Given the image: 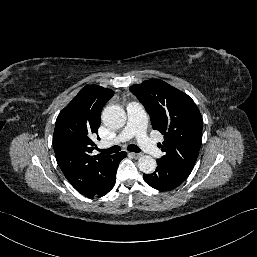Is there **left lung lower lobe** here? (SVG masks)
Returning <instances> with one entry per match:
<instances>
[{"label": "left lung lower lobe", "instance_id": "obj_1", "mask_svg": "<svg viewBox=\"0 0 257 257\" xmlns=\"http://www.w3.org/2000/svg\"><path fill=\"white\" fill-rule=\"evenodd\" d=\"M189 174L174 165L158 159L156 171L152 174H144L143 177L145 182L151 187L161 191H169L183 183Z\"/></svg>", "mask_w": 257, "mask_h": 257}]
</instances>
